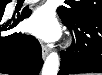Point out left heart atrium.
<instances>
[{
    "label": "left heart atrium",
    "instance_id": "left-heart-atrium-1",
    "mask_svg": "<svg viewBox=\"0 0 102 75\" xmlns=\"http://www.w3.org/2000/svg\"><path fill=\"white\" fill-rule=\"evenodd\" d=\"M27 28L32 34L46 42L58 39L61 34V27L54 13L47 6H42L34 11L27 21Z\"/></svg>",
    "mask_w": 102,
    "mask_h": 75
}]
</instances>
